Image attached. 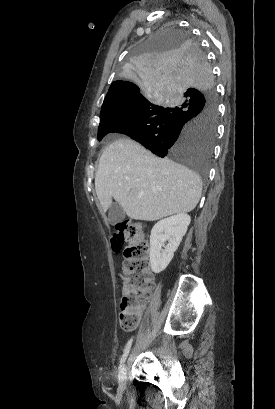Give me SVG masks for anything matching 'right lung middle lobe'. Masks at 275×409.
<instances>
[{"mask_svg":"<svg viewBox=\"0 0 275 409\" xmlns=\"http://www.w3.org/2000/svg\"><path fill=\"white\" fill-rule=\"evenodd\" d=\"M137 48L127 50L120 72L127 85L146 92L101 112L98 140L110 132L126 134L157 156L191 167L206 182L217 117L206 52L177 24L146 36Z\"/></svg>","mask_w":275,"mask_h":409,"instance_id":"dd1d6c3e","label":"right lung middle lobe"}]
</instances>
